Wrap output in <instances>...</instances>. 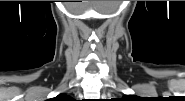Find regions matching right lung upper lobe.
<instances>
[{"label":"right lung upper lobe","instance_id":"obj_1","mask_svg":"<svg viewBox=\"0 0 185 101\" xmlns=\"http://www.w3.org/2000/svg\"><path fill=\"white\" fill-rule=\"evenodd\" d=\"M53 100H56V101H69L70 97L65 95V94H60L57 97L53 98Z\"/></svg>","mask_w":185,"mask_h":101}]
</instances>
